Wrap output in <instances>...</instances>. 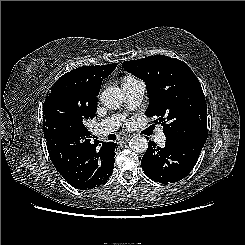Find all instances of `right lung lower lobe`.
Segmentation results:
<instances>
[{
	"label": "right lung lower lobe",
	"instance_id": "obj_1",
	"mask_svg": "<svg viewBox=\"0 0 245 245\" xmlns=\"http://www.w3.org/2000/svg\"><path fill=\"white\" fill-rule=\"evenodd\" d=\"M91 144L83 140L70 144L64 138L47 141L52 163L62 177L74 188L87 190L108 180L113 172L116 143Z\"/></svg>",
	"mask_w": 245,
	"mask_h": 245
}]
</instances>
